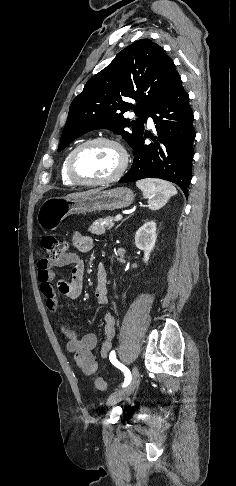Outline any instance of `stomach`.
I'll use <instances>...</instances> for the list:
<instances>
[{
  "label": "stomach",
  "mask_w": 236,
  "mask_h": 486,
  "mask_svg": "<svg viewBox=\"0 0 236 486\" xmlns=\"http://www.w3.org/2000/svg\"><path fill=\"white\" fill-rule=\"evenodd\" d=\"M134 198V192L127 187H117L77 197H53L41 204L36 219L42 229L54 231L63 219L71 214L126 208L133 203Z\"/></svg>",
  "instance_id": "1"
}]
</instances>
